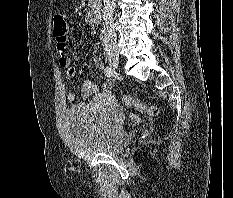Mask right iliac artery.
Wrapping results in <instances>:
<instances>
[{
  "mask_svg": "<svg viewBox=\"0 0 233 198\" xmlns=\"http://www.w3.org/2000/svg\"><path fill=\"white\" fill-rule=\"evenodd\" d=\"M113 73H114V71H113V69H112L111 67L107 66V67L105 68V75H106L107 77H111V76L113 75Z\"/></svg>",
  "mask_w": 233,
  "mask_h": 198,
  "instance_id": "1",
  "label": "right iliac artery"
}]
</instances>
